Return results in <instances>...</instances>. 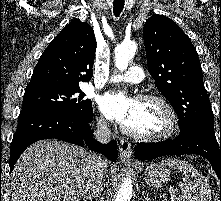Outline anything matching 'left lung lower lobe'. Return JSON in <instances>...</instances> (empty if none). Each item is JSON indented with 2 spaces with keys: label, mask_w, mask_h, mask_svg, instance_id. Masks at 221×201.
Instances as JSON below:
<instances>
[{
  "label": "left lung lower lobe",
  "mask_w": 221,
  "mask_h": 201,
  "mask_svg": "<svg viewBox=\"0 0 221 201\" xmlns=\"http://www.w3.org/2000/svg\"><path fill=\"white\" fill-rule=\"evenodd\" d=\"M181 154H196L205 157L221 181V141L217 142L211 126L194 124L181 130L174 140L139 143L135 149V157L138 160Z\"/></svg>",
  "instance_id": "1"
}]
</instances>
